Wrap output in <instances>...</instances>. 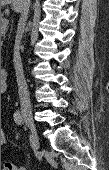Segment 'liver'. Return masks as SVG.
<instances>
[{
    "label": "liver",
    "instance_id": "6515ba94",
    "mask_svg": "<svg viewBox=\"0 0 109 170\" xmlns=\"http://www.w3.org/2000/svg\"><path fill=\"white\" fill-rule=\"evenodd\" d=\"M26 0H1L2 5L12 4V10L15 12H21Z\"/></svg>",
    "mask_w": 109,
    "mask_h": 170
}]
</instances>
